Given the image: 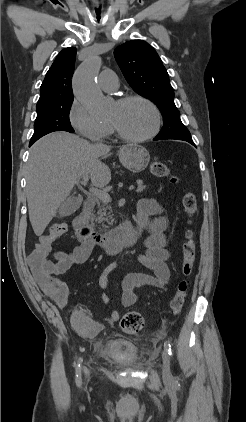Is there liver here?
<instances>
[{
    "label": "liver",
    "instance_id": "1",
    "mask_svg": "<svg viewBox=\"0 0 246 422\" xmlns=\"http://www.w3.org/2000/svg\"><path fill=\"white\" fill-rule=\"evenodd\" d=\"M110 149L67 132L48 134L31 147L26 192L29 219L37 236L43 234L81 177L89 175L96 187L110 182L111 171L101 161Z\"/></svg>",
    "mask_w": 246,
    "mask_h": 422
}]
</instances>
